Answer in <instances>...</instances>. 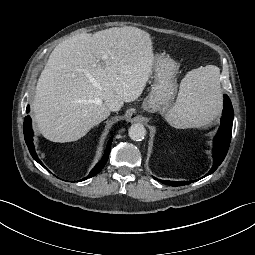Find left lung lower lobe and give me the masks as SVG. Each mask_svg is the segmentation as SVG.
I'll list each match as a JSON object with an SVG mask.
<instances>
[{"label": "left lung lower lobe", "instance_id": "1", "mask_svg": "<svg viewBox=\"0 0 255 255\" xmlns=\"http://www.w3.org/2000/svg\"><path fill=\"white\" fill-rule=\"evenodd\" d=\"M222 115L223 116L221 118V126L217 132V135L214 138L213 167L205 176L213 173L218 168V166L224 160L230 145L234 112L231 100L226 94L224 95V109ZM157 180L171 186H181L194 182V181H165L159 179Z\"/></svg>", "mask_w": 255, "mask_h": 255}]
</instances>
